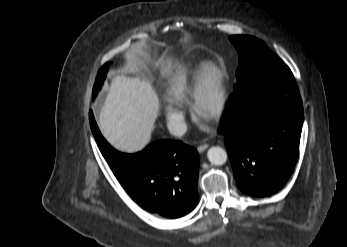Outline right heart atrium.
<instances>
[{"label":"right heart atrium","mask_w":347,"mask_h":247,"mask_svg":"<svg viewBox=\"0 0 347 247\" xmlns=\"http://www.w3.org/2000/svg\"><path fill=\"white\" fill-rule=\"evenodd\" d=\"M164 115L169 127L176 133L185 127V114L178 104L169 102L164 107Z\"/></svg>","instance_id":"d8ad5b80"}]
</instances>
